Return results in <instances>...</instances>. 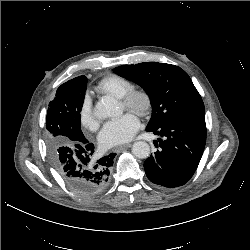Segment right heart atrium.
Returning <instances> with one entry per match:
<instances>
[{
	"mask_svg": "<svg viewBox=\"0 0 250 250\" xmlns=\"http://www.w3.org/2000/svg\"><path fill=\"white\" fill-rule=\"evenodd\" d=\"M80 123L88 130L94 131L98 128L99 122L93 111L90 97H86L80 109Z\"/></svg>",
	"mask_w": 250,
	"mask_h": 250,
	"instance_id": "obj_1",
	"label": "right heart atrium"
}]
</instances>
